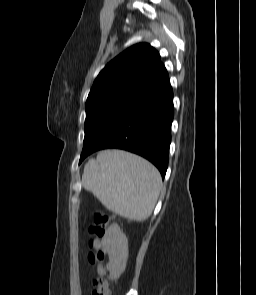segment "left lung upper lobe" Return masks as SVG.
<instances>
[{"instance_id":"obj_1","label":"left lung upper lobe","mask_w":256,"mask_h":295,"mask_svg":"<svg viewBox=\"0 0 256 295\" xmlns=\"http://www.w3.org/2000/svg\"><path fill=\"white\" fill-rule=\"evenodd\" d=\"M170 83L159 53L147 43L128 48L99 73L86 101L83 149Z\"/></svg>"}]
</instances>
